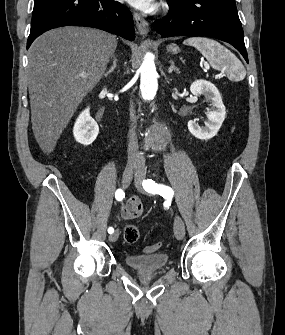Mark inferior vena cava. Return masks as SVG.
<instances>
[{"mask_svg":"<svg viewBox=\"0 0 285 335\" xmlns=\"http://www.w3.org/2000/svg\"><path fill=\"white\" fill-rule=\"evenodd\" d=\"M130 120L131 122H136L135 110L132 104L130 106ZM134 128L135 126H132L131 130H129L128 162L129 164H140L142 156H140L138 152V144Z\"/></svg>","mask_w":285,"mask_h":335,"instance_id":"inferior-vena-cava-1","label":"inferior vena cava"}]
</instances>
